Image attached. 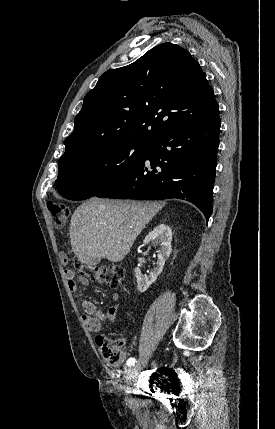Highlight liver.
<instances>
[{
	"label": "liver",
	"instance_id": "liver-1",
	"mask_svg": "<svg viewBox=\"0 0 275 429\" xmlns=\"http://www.w3.org/2000/svg\"><path fill=\"white\" fill-rule=\"evenodd\" d=\"M162 206L160 202L91 198L71 217L70 239L75 255L85 264L95 257L111 262L123 260Z\"/></svg>",
	"mask_w": 275,
	"mask_h": 429
}]
</instances>
